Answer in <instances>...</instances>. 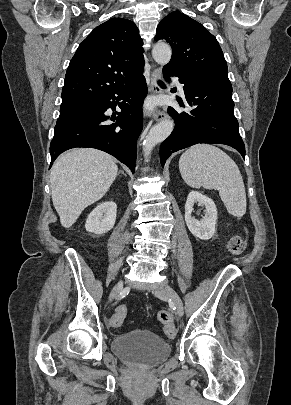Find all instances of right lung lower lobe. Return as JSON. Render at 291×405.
Here are the masks:
<instances>
[{
  "label": "right lung lower lobe",
  "mask_w": 291,
  "mask_h": 405,
  "mask_svg": "<svg viewBox=\"0 0 291 405\" xmlns=\"http://www.w3.org/2000/svg\"><path fill=\"white\" fill-rule=\"evenodd\" d=\"M146 95V80L139 73L95 98L92 107L57 123L50 144L51 165L68 149L88 147L113 155L134 173L136 141L143 127L141 104ZM117 104L121 112L108 116L107 109L115 110Z\"/></svg>",
  "instance_id": "right-lung-lower-lobe-1"
}]
</instances>
